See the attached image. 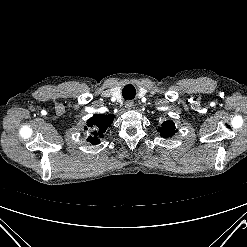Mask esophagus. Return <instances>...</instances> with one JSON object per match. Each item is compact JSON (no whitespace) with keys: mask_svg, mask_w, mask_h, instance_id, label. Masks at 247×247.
Masks as SVG:
<instances>
[{"mask_svg":"<svg viewBox=\"0 0 247 247\" xmlns=\"http://www.w3.org/2000/svg\"><path fill=\"white\" fill-rule=\"evenodd\" d=\"M133 106H134V103L132 101H127L125 103V108L128 109V110L132 109Z\"/></svg>","mask_w":247,"mask_h":247,"instance_id":"34e87169","label":"esophagus"}]
</instances>
